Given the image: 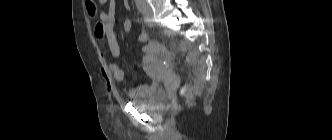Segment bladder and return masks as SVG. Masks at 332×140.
<instances>
[{"label": "bladder", "mask_w": 332, "mask_h": 140, "mask_svg": "<svg viewBox=\"0 0 332 140\" xmlns=\"http://www.w3.org/2000/svg\"><path fill=\"white\" fill-rule=\"evenodd\" d=\"M146 86V92L138 97H135L131 100V103L143 109L152 108L164 100V94L161 91L158 82L153 81Z\"/></svg>", "instance_id": "obj_1"}]
</instances>
